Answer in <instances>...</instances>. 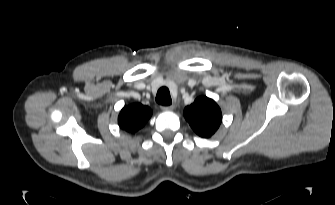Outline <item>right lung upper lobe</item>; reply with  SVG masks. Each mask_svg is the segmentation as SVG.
<instances>
[{
	"label": "right lung upper lobe",
	"mask_w": 335,
	"mask_h": 205,
	"mask_svg": "<svg viewBox=\"0 0 335 205\" xmlns=\"http://www.w3.org/2000/svg\"><path fill=\"white\" fill-rule=\"evenodd\" d=\"M151 115L152 111L149 107L138 103L131 104L121 110L118 123L123 130L135 133L145 125Z\"/></svg>",
	"instance_id": "obj_1"
}]
</instances>
